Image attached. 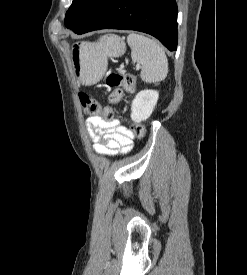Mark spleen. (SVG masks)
<instances>
[{"mask_svg":"<svg viewBox=\"0 0 247 275\" xmlns=\"http://www.w3.org/2000/svg\"><path fill=\"white\" fill-rule=\"evenodd\" d=\"M104 37L97 43L100 47L108 45ZM127 43L131 48L132 61L141 65V79L146 83L164 80L168 73V59L164 48L154 39L130 33Z\"/></svg>","mask_w":247,"mask_h":275,"instance_id":"3e777b00","label":"spleen"}]
</instances>
